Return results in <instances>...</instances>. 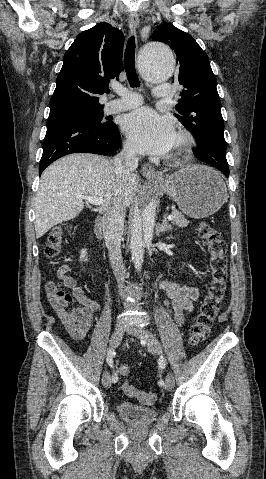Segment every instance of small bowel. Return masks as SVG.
I'll list each match as a JSON object with an SVG mask.
<instances>
[{
  "label": "small bowel",
  "mask_w": 266,
  "mask_h": 479,
  "mask_svg": "<svg viewBox=\"0 0 266 479\" xmlns=\"http://www.w3.org/2000/svg\"><path fill=\"white\" fill-rule=\"evenodd\" d=\"M62 284L70 290L66 293L59 283L46 284V295L51 309L62 321L70 335L76 340H83L94 322L95 312L99 304L89 298L76 280L62 270L59 274ZM168 300L165 305L174 316L176 323L181 326L185 322V315L193 309V302L199 297V290L193 286L180 285L166 280L162 283ZM72 303L75 305L70 306Z\"/></svg>",
  "instance_id": "obj_1"
}]
</instances>
